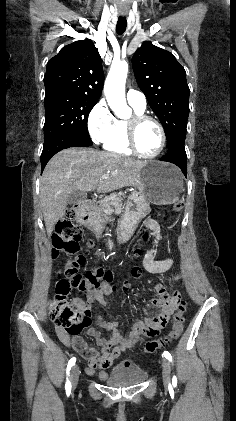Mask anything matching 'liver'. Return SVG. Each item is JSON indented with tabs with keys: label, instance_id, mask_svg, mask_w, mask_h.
Here are the masks:
<instances>
[{
	"label": "liver",
	"instance_id": "liver-1",
	"mask_svg": "<svg viewBox=\"0 0 236 421\" xmlns=\"http://www.w3.org/2000/svg\"><path fill=\"white\" fill-rule=\"evenodd\" d=\"M144 160L127 158L115 152L71 146L57 152L47 162L40 178V206L46 233L63 219L67 198L72 190L111 192L122 186H139ZM109 174V178H101Z\"/></svg>",
	"mask_w": 236,
	"mask_h": 421
}]
</instances>
